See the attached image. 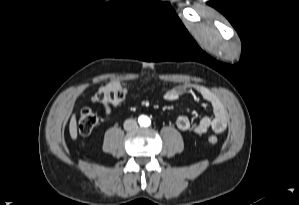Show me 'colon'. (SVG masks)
Instances as JSON below:
<instances>
[{"label":"colon","instance_id":"5ec220e1","mask_svg":"<svg viewBox=\"0 0 299 205\" xmlns=\"http://www.w3.org/2000/svg\"><path fill=\"white\" fill-rule=\"evenodd\" d=\"M125 89L123 87L111 90L105 93H98L93 97V101L100 103L101 105H118L125 97ZM98 122L96 114L89 108H83L79 121H78V131L81 135H89L95 128ZM210 144L215 145L218 142V138L215 135H210L208 138Z\"/></svg>","mask_w":299,"mask_h":205}]
</instances>
